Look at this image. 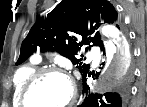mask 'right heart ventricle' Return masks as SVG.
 <instances>
[{"mask_svg": "<svg viewBox=\"0 0 147 107\" xmlns=\"http://www.w3.org/2000/svg\"><path fill=\"white\" fill-rule=\"evenodd\" d=\"M38 69L37 63L22 66L18 68L13 76V89H12V101L14 107H23L20 96L21 92L32 74Z\"/></svg>", "mask_w": 147, "mask_h": 107, "instance_id": "1", "label": "right heart ventricle"}]
</instances>
